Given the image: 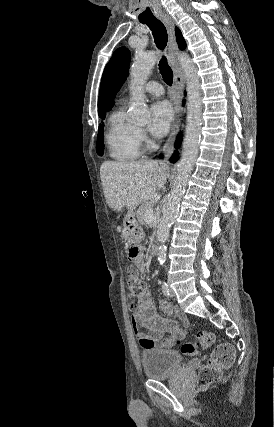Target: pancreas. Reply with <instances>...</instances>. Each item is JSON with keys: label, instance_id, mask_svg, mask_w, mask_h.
<instances>
[{"label": "pancreas", "instance_id": "cf45deb5", "mask_svg": "<svg viewBox=\"0 0 274 427\" xmlns=\"http://www.w3.org/2000/svg\"><path fill=\"white\" fill-rule=\"evenodd\" d=\"M154 202H144V204H141L138 212H137V219L139 223H145V212L147 210H153Z\"/></svg>", "mask_w": 274, "mask_h": 427}]
</instances>
